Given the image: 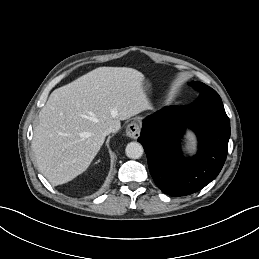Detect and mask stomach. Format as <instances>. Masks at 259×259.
Listing matches in <instances>:
<instances>
[{
    "instance_id": "1",
    "label": "stomach",
    "mask_w": 259,
    "mask_h": 259,
    "mask_svg": "<svg viewBox=\"0 0 259 259\" xmlns=\"http://www.w3.org/2000/svg\"><path fill=\"white\" fill-rule=\"evenodd\" d=\"M143 89H144L145 92L148 90V86L146 85L145 82H143Z\"/></svg>"
}]
</instances>
